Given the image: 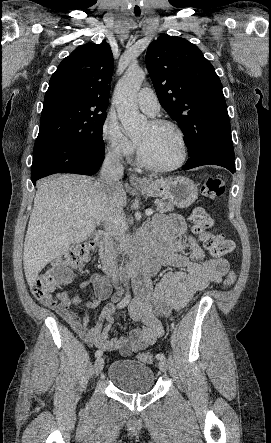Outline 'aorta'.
Here are the masks:
<instances>
[{
  "label": "aorta",
  "instance_id": "obj_1",
  "mask_svg": "<svg viewBox=\"0 0 271 443\" xmlns=\"http://www.w3.org/2000/svg\"><path fill=\"white\" fill-rule=\"evenodd\" d=\"M145 78L146 74L139 66H129L114 90L113 102L118 118L128 134L141 132L147 124V118L139 114L137 104V94Z\"/></svg>",
  "mask_w": 271,
  "mask_h": 443
}]
</instances>
